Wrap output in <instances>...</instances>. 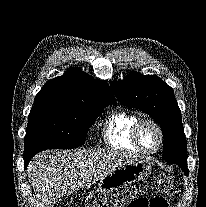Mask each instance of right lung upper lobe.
Here are the masks:
<instances>
[{
  "label": "right lung upper lobe",
  "mask_w": 206,
  "mask_h": 207,
  "mask_svg": "<svg viewBox=\"0 0 206 207\" xmlns=\"http://www.w3.org/2000/svg\"><path fill=\"white\" fill-rule=\"evenodd\" d=\"M57 102L81 106L117 105L109 85L88 74L69 68L63 76L47 81L34 103Z\"/></svg>",
  "instance_id": "right-lung-upper-lobe-1"
}]
</instances>
